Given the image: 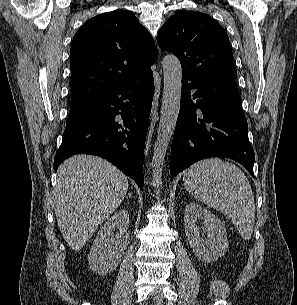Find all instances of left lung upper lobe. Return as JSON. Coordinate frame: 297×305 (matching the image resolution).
Returning <instances> with one entry per match:
<instances>
[{"label": "left lung upper lobe", "instance_id": "obj_1", "mask_svg": "<svg viewBox=\"0 0 297 305\" xmlns=\"http://www.w3.org/2000/svg\"><path fill=\"white\" fill-rule=\"evenodd\" d=\"M158 43L179 58L183 73L198 80L234 78L229 38L207 14L177 12L159 30Z\"/></svg>", "mask_w": 297, "mask_h": 305}]
</instances>
